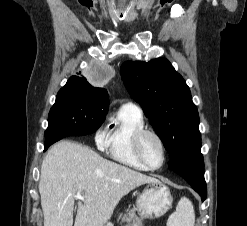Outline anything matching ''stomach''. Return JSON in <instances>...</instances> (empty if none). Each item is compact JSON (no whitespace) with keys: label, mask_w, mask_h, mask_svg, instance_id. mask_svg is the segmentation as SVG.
<instances>
[{"label":"stomach","mask_w":247,"mask_h":226,"mask_svg":"<svg viewBox=\"0 0 247 226\" xmlns=\"http://www.w3.org/2000/svg\"><path fill=\"white\" fill-rule=\"evenodd\" d=\"M172 203L170 189L164 183L159 180L147 183L136 201L140 218L127 226H140L143 219L163 216L172 207Z\"/></svg>","instance_id":"0dacf381"}]
</instances>
